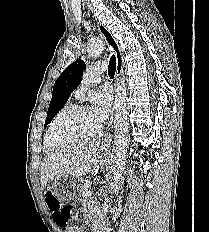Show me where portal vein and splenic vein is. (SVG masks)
I'll return each mask as SVG.
<instances>
[{
  "instance_id": "portal-vein-and-splenic-vein-1",
  "label": "portal vein and splenic vein",
  "mask_w": 209,
  "mask_h": 232,
  "mask_svg": "<svg viewBox=\"0 0 209 232\" xmlns=\"http://www.w3.org/2000/svg\"><path fill=\"white\" fill-rule=\"evenodd\" d=\"M91 194H92L91 191H87V192H85L84 197L89 198L91 196Z\"/></svg>"
}]
</instances>
